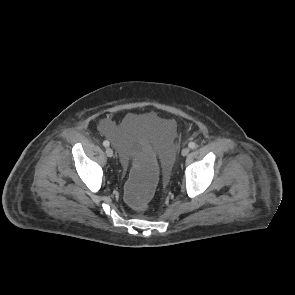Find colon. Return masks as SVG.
<instances>
[{
    "label": "colon",
    "mask_w": 295,
    "mask_h": 295,
    "mask_svg": "<svg viewBox=\"0 0 295 295\" xmlns=\"http://www.w3.org/2000/svg\"><path fill=\"white\" fill-rule=\"evenodd\" d=\"M134 159V171L130 173L125 182V201L136 209H147L157 190V159L155 148L147 140L135 142L131 148Z\"/></svg>",
    "instance_id": "1"
}]
</instances>
